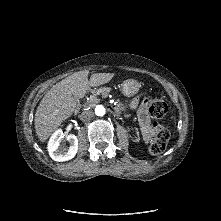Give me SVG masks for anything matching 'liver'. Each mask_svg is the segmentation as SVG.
I'll list each match as a JSON object with an SVG mask.
<instances>
[{"instance_id": "liver-1", "label": "liver", "mask_w": 221, "mask_h": 221, "mask_svg": "<svg viewBox=\"0 0 221 221\" xmlns=\"http://www.w3.org/2000/svg\"><path fill=\"white\" fill-rule=\"evenodd\" d=\"M88 74V70L75 72L55 84L43 97L34 119L41 142H45L73 114L76 100L86 95L89 86L106 84L115 76L114 73H95L88 80Z\"/></svg>"}]
</instances>
